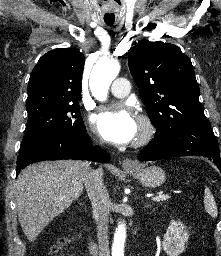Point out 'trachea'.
<instances>
[{
    "mask_svg": "<svg viewBox=\"0 0 221 256\" xmlns=\"http://www.w3.org/2000/svg\"><path fill=\"white\" fill-rule=\"evenodd\" d=\"M107 25L112 26V25H113V23H107Z\"/></svg>",
    "mask_w": 221,
    "mask_h": 256,
    "instance_id": "trachea-1",
    "label": "trachea"
}]
</instances>
